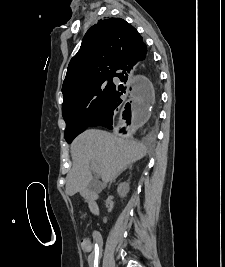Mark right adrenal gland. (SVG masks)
I'll return each instance as SVG.
<instances>
[{"mask_svg":"<svg viewBox=\"0 0 225 267\" xmlns=\"http://www.w3.org/2000/svg\"><path fill=\"white\" fill-rule=\"evenodd\" d=\"M127 168H129V169H131L132 168V166L131 165H129V166H127L124 170H126ZM124 170H122L117 176H119ZM115 180V178L113 179V181ZM112 182H110V184H111Z\"/></svg>","mask_w":225,"mask_h":267,"instance_id":"right-adrenal-gland-1","label":"right adrenal gland"}]
</instances>
